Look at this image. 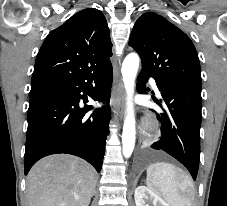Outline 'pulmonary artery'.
Instances as JSON below:
<instances>
[{"instance_id":"e3ab8cb5","label":"pulmonary artery","mask_w":227,"mask_h":206,"mask_svg":"<svg viewBox=\"0 0 227 206\" xmlns=\"http://www.w3.org/2000/svg\"><path fill=\"white\" fill-rule=\"evenodd\" d=\"M151 84H152V86L158 91L157 86H156V83H155L154 80H151Z\"/></svg>"}]
</instances>
